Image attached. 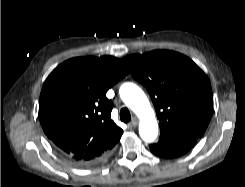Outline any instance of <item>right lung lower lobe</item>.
<instances>
[{"mask_svg": "<svg viewBox=\"0 0 245 187\" xmlns=\"http://www.w3.org/2000/svg\"><path fill=\"white\" fill-rule=\"evenodd\" d=\"M109 154H110V153H109ZM109 154L103 156V157L100 158V159H97V160L91 161V162H84V161H79V162H74V161H72V162H73V163H76V164H79V165H90V164H94V163H97V162L103 160V159L106 158ZM67 159H68V158H67ZM70 161H71V160H70Z\"/></svg>", "mask_w": 245, "mask_h": 187, "instance_id": "98d812e1", "label": "right lung lower lobe"}]
</instances>
